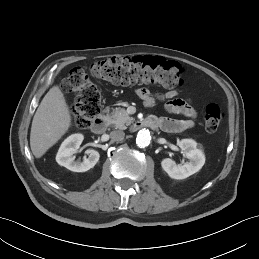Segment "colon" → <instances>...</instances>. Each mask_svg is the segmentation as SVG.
Returning <instances> with one entry per match:
<instances>
[{
	"label": "colon",
	"instance_id": "5ec220e1",
	"mask_svg": "<svg viewBox=\"0 0 259 259\" xmlns=\"http://www.w3.org/2000/svg\"><path fill=\"white\" fill-rule=\"evenodd\" d=\"M182 67L174 62L155 56L112 57L93 63L90 74L118 85L156 84L165 88L182 85ZM63 89L75 95L72 107V122L78 128H87L101 109V93L82 67L73 68L63 81ZM224 114L221 108L211 103L204 113L205 129L215 132Z\"/></svg>",
	"mask_w": 259,
	"mask_h": 259
}]
</instances>
